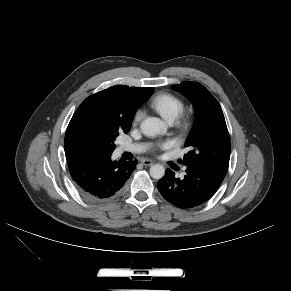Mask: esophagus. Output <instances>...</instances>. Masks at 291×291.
<instances>
[{
    "mask_svg": "<svg viewBox=\"0 0 291 291\" xmlns=\"http://www.w3.org/2000/svg\"><path fill=\"white\" fill-rule=\"evenodd\" d=\"M141 163L145 166H151L153 164V161L150 159H143L141 160Z\"/></svg>",
    "mask_w": 291,
    "mask_h": 291,
    "instance_id": "esophagus-1",
    "label": "esophagus"
}]
</instances>
